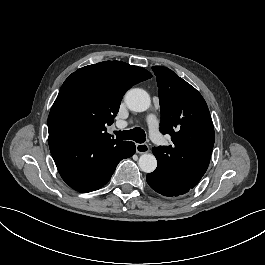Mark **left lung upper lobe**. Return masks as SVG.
I'll use <instances>...</instances> for the list:
<instances>
[{
	"mask_svg": "<svg viewBox=\"0 0 265 265\" xmlns=\"http://www.w3.org/2000/svg\"><path fill=\"white\" fill-rule=\"evenodd\" d=\"M159 88L160 131L169 146L153 147L158 167L194 188L205 174L214 146V127L201 94L172 70L152 67Z\"/></svg>",
	"mask_w": 265,
	"mask_h": 265,
	"instance_id": "5c2ea615",
	"label": "left lung upper lobe"
}]
</instances>
